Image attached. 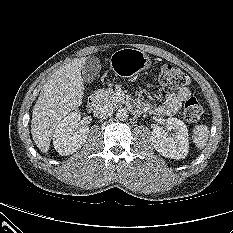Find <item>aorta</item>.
Returning a JSON list of instances; mask_svg holds the SVG:
<instances>
[{"instance_id":"obj_1","label":"aorta","mask_w":233,"mask_h":233,"mask_svg":"<svg viewBox=\"0 0 233 233\" xmlns=\"http://www.w3.org/2000/svg\"><path fill=\"white\" fill-rule=\"evenodd\" d=\"M116 118L120 121H125L128 118V111L124 108L119 109L116 113Z\"/></svg>"}]
</instances>
